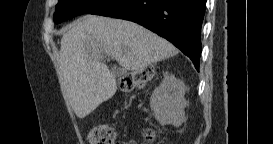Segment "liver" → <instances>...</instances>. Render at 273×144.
Returning <instances> with one entry per match:
<instances>
[{
    "label": "liver",
    "instance_id": "6515ba94",
    "mask_svg": "<svg viewBox=\"0 0 273 144\" xmlns=\"http://www.w3.org/2000/svg\"><path fill=\"white\" fill-rule=\"evenodd\" d=\"M177 53L166 39L131 21L95 15L78 19L60 47L63 84L76 116L86 117L115 94L116 79L102 62L106 56L137 71Z\"/></svg>",
    "mask_w": 273,
    "mask_h": 144
}]
</instances>
